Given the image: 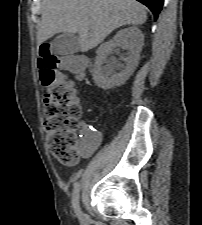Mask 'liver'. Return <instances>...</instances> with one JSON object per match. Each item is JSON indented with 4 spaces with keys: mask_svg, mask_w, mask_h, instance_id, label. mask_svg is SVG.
<instances>
[{
    "mask_svg": "<svg viewBox=\"0 0 202 225\" xmlns=\"http://www.w3.org/2000/svg\"><path fill=\"white\" fill-rule=\"evenodd\" d=\"M37 44L57 33H78L80 49L87 52L123 25H142L145 7L136 0H43Z\"/></svg>",
    "mask_w": 202,
    "mask_h": 225,
    "instance_id": "obj_1",
    "label": "liver"
}]
</instances>
